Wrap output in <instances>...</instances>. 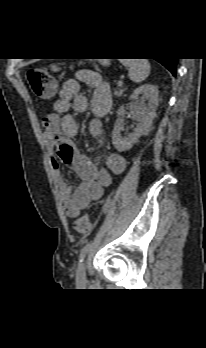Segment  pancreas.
<instances>
[{
    "mask_svg": "<svg viewBox=\"0 0 206 348\" xmlns=\"http://www.w3.org/2000/svg\"><path fill=\"white\" fill-rule=\"evenodd\" d=\"M125 90L126 89L123 85H121V86L118 85V87L114 90V94L116 97H120V96H122V94L124 93Z\"/></svg>",
    "mask_w": 206,
    "mask_h": 348,
    "instance_id": "pancreas-1",
    "label": "pancreas"
}]
</instances>
